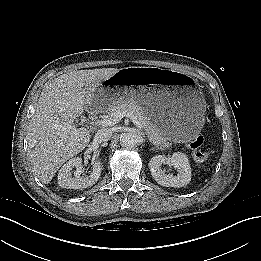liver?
<instances>
[{
    "mask_svg": "<svg viewBox=\"0 0 261 261\" xmlns=\"http://www.w3.org/2000/svg\"><path fill=\"white\" fill-rule=\"evenodd\" d=\"M118 71L117 68L70 71L46 84L27 133L30 162L42 183L48 184L68 159L88 145L90 130L69 127L85 108L92 106L102 82Z\"/></svg>",
    "mask_w": 261,
    "mask_h": 261,
    "instance_id": "1",
    "label": "liver"
}]
</instances>
